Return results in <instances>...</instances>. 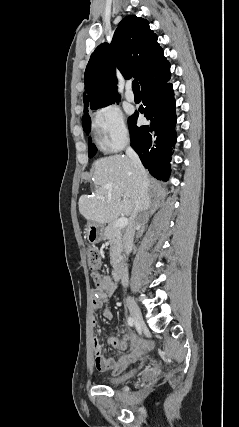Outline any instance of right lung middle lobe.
<instances>
[{
  "mask_svg": "<svg viewBox=\"0 0 239 427\" xmlns=\"http://www.w3.org/2000/svg\"><path fill=\"white\" fill-rule=\"evenodd\" d=\"M105 106H107V105H105ZM98 108H100V107H96L93 109H98ZM82 125H83L84 131L86 133H89L90 129H91V118L88 114H86L85 116L82 117ZM89 151H90V153H89L90 158H92L96 154V151H97L96 146L94 144H92V142H91V138H89Z\"/></svg>",
  "mask_w": 239,
  "mask_h": 427,
  "instance_id": "dd1d6c3e",
  "label": "right lung middle lobe"
}]
</instances>
